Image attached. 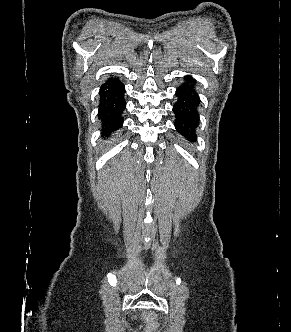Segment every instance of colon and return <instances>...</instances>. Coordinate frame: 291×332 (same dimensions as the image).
<instances>
[{"label": "colon", "mask_w": 291, "mask_h": 332, "mask_svg": "<svg viewBox=\"0 0 291 332\" xmlns=\"http://www.w3.org/2000/svg\"><path fill=\"white\" fill-rule=\"evenodd\" d=\"M147 331L154 332L158 328L157 318L154 314L149 313L146 315Z\"/></svg>", "instance_id": "5ec220e1"}]
</instances>
